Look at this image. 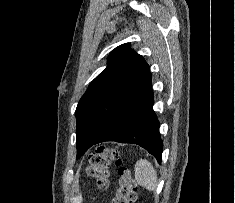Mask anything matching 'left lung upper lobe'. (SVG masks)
I'll list each match as a JSON object with an SVG mask.
<instances>
[{"instance_id":"left-lung-upper-lobe-1","label":"left lung upper lobe","mask_w":235,"mask_h":203,"mask_svg":"<svg viewBox=\"0 0 235 203\" xmlns=\"http://www.w3.org/2000/svg\"><path fill=\"white\" fill-rule=\"evenodd\" d=\"M149 72L144 58L128 44L110 53L107 67L90 83L76 108L77 159L90 148H85L87 139L82 134L99 136Z\"/></svg>"}]
</instances>
